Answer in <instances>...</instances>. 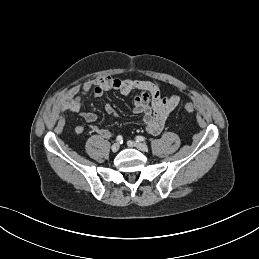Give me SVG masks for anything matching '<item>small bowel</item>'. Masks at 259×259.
<instances>
[{"mask_svg": "<svg viewBox=\"0 0 259 259\" xmlns=\"http://www.w3.org/2000/svg\"><path fill=\"white\" fill-rule=\"evenodd\" d=\"M117 91L123 95H128L133 91H139L134 96L133 112L143 116V123L147 132L153 136L158 135L164 128L169 115L177 108L180 102L178 95L161 96L160 86L152 80H133L120 79L111 76H102L84 83L73 85L63 97V100L57 107L58 112L68 111L73 114H79L89 125L92 132L103 137L109 138L112 133L106 128L95 125L97 115L94 112H81L82 99L93 92L95 96H102L108 91ZM108 114L117 117V113L111 103H106L104 107ZM56 121L55 116L48 118V123L53 124ZM62 120L58 121L61 124ZM84 127L78 125L75 132L81 134Z\"/></svg>", "mask_w": 259, "mask_h": 259, "instance_id": "small-bowel-1", "label": "small bowel"}]
</instances>
